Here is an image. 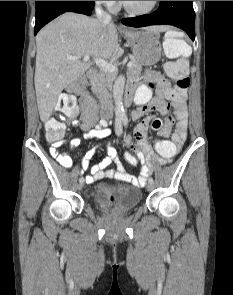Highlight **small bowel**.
<instances>
[{"instance_id":"obj_1","label":"small bowel","mask_w":233,"mask_h":295,"mask_svg":"<svg viewBox=\"0 0 233 295\" xmlns=\"http://www.w3.org/2000/svg\"><path fill=\"white\" fill-rule=\"evenodd\" d=\"M147 84L140 86L136 92L137 107L132 112V119L139 123L137 125L134 136H127L124 144L127 148L136 153L137 160L141 164L140 174L138 177L128 175L124 171V167L118 157V153L114 146L109 142L107 144V156L99 163L91 167V174L86 176V182L92 183L102 178H113L124 180L136 185H144L146 179L152 174V165L150 163L153 158L151 147L147 140V130L151 127L153 130L162 133L175 126V131L171 135V142L176 150L182 148L187 136L188 114L186 110V92L179 95L172 93L168 81L159 72H148ZM156 90V94L152 95V90ZM81 116L76 123L79 128L85 131V138L104 139L110 136V129L105 119L96 120L95 103L88 93H83L80 97ZM173 110V115H168ZM158 112L168 115L164 120L156 118L150 113ZM70 147L76 148L80 145V138H72L69 142ZM60 143L52 144L50 154L58 163L64 167H71L72 159L68 153L59 151ZM98 146L90 148L84 155L81 167V173L89 168L90 160L94 156ZM160 164H165L171 160V157L156 158ZM114 163L115 169H107Z\"/></svg>"}]
</instances>
